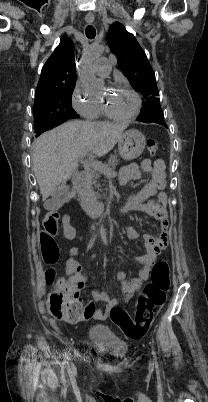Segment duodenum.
<instances>
[{
    "instance_id": "410a0bca",
    "label": "duodenum",
    "mask_w": 208,
    "mask_h": 402,
    "mask_svg": "<svg viewBox=\"0 0 208 402\" xmlns=\"http://www.w3.org/2000/svg\"><path fill=\"white\" fill-rule=\"evenodd\" d=\"M84 183L85 174L83 172H77L72 176L73 188L82 207L92 214H101L104 210V203L89 196L84 190Z\"/></svg>"
}]
</instances>
